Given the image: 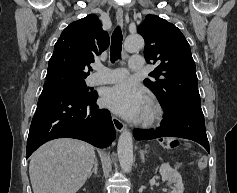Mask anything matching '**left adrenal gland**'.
I'll return each mask as SVG.
<instances>
[{
    "label": "left adrenal gland",
    "mask_w": 237,
    "mask_h": 193,
    "mask_svg": "<svg viewBox=\"0 0 237 193\" xmlns=\"http://www.w3.org/2000/svg\"><path fill=\"white\" fill-rule=\"evenodd\" d=\"M145 153H146L145 151L141 152V160H142L143 163L145 162V158H144Z\"/></svg>",
    "instance_id": "a2214340"
}]
</instances>
